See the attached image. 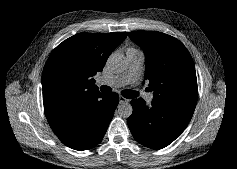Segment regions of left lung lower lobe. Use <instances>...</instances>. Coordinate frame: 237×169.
I'll return each mask as SVG.
<instances>
[{
	"label": "left lung lower lobe",
	"instance_id": "obj_1",
	"mask_svg": "<svg viewBox=\"0 0 237 169\" xmlns=\"http://www.w3.org/2000/svg\"><path fill=\"white\" fill-rule=\"evenodd\" d=\"M131 105L133 113L127 120L129 129L136 141L152 149H161L173 142L194 112L155 100L148 107L141 98L132 100Z\"/></svg>",
	"mask_w": 237,
	"mask_h": 169
}]
</instances>
